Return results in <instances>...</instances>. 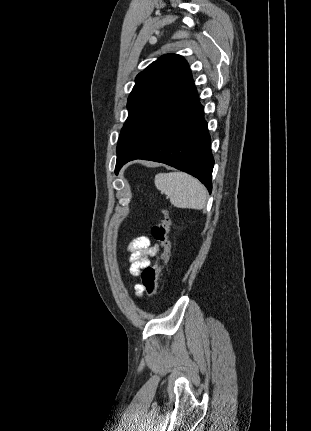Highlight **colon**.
<instances>
[{
  "mask_svg": "<svg viewBox=\"0 0 311 431\" xmlns=\"http://www.w3.org/2000/svg\"><path fill=\"white\" fill-rule=\"evenodd\" d=\"M161 220L152 228V236L159 243L161 253L153 265L145 267L141 273L142 285L150 297H156L159 291L158 276L161 269L166 265L171 251L169 232L171 228L170 212L162 208Z\"/></svg>",
  "mask_w": 311,
  "mask_h": 431,
  "instance_id": "colon-1",
  "label": "colon"
}]
</instances>
